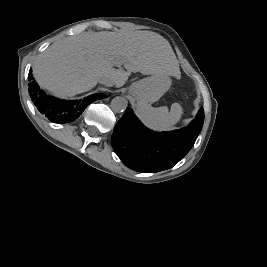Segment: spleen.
Wrapping results in <instances>:
<instances>
[{
  "mask_svg": "<svg viewBox=\"0 0 267 267\" xmlns=\"http://www.w3.org/2000/svg\"><path fill=\"white\" fill-rule=\"evenodd\" d=\"M183 114L179 103H173L170 111L166 106L152 107L150 104L138 101L137 116L142 123L154 131H168L177 124Z\"/></svg>",
  "mask_w": 267,
  "mask_h": 267,
  "instance_id": "3e777b00",
  "label": "spleen"
}]
</instances>
